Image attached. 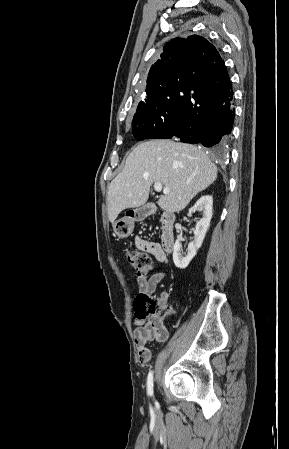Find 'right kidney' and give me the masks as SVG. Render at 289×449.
<instances>
[{"mask_svg": "<svg viewBox=\"0 0 289 449\" xmlns=\"http://www.w3.org/2000/svg\"><path fill=\"white\" fill-rule=\"evenodd\" d=\"M212 209L213 197L211 195L202 196L195 205L190 208V213H195L196 211L202 212L203 218L196 224L194 240L189 243L187 253L183 252L182 245L176 240L173 248V262L177 268L185 269L201 247L210 225Z\"/></svg>", "mask_w": 289, "mask_h": 449, "instance_id": "1", "label": "right kidney"}]
</instances>
